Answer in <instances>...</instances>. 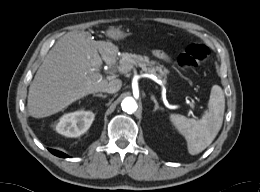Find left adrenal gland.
Here are the masks:
<instances>
[{
    "mask_svg": "<svg viewBox=\"0 0 260 192\" xmlns=\"http://www.w3.org/2000/svg\"><path fill=\"white\" fill-rule=\"evenodd\" d=\"M151 99L153 100V102L155 104L153 111L156 112L157 110H162V108L159 107V104H158L157 100L155 99V97L153 95L151 96Z\"/></svg>",
    "mask_w": 260,
    "mask_h": 192,
    "instance_id": "1",
    "label": "left adrenal gland"
}]
</instances>
